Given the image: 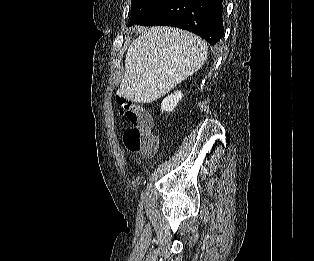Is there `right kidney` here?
Here are the masks:
<instances>
[{"label": "right kidney", "instance_id": "ca27d5eb", "mask_svg": "<svg viewBox=\"0 0 314 261\" xmlns=\"http://www.w3.org/2000/svg\"><path fill=\"white\" fill-rule=\"evenodd\" d=\"M182 97L183 94L181 91H175L173 94L168 95L166 98H164L161 103L162 113L172 112L176 108Z\"/></svg>", "mask_w": 314, "mask_h": 261}]
</instances>
